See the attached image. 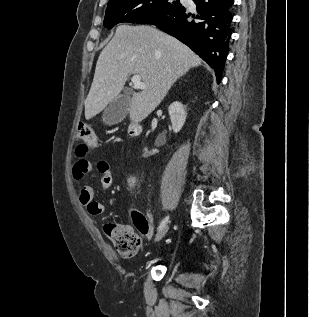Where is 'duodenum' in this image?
Returning <instances> with one entry per match:
<instances>
[{
  "label": "duodenum",
  "instance_id": "410a0bca",
  "mask_svg": "<svg viewBox=\"0 0 309 317\" xmlns=\"http://www.w3.org/2000/svg\"><path fill=\"white\" fill-rule=\"evenodd\" d=\"M141 131H142V127L139 123L132 122L129 125L128 132H129L130 136L137 137L141 134Z\"/></svg>",
  "mask_w": 309,
  "mask_h": 317
}]
</instances>
